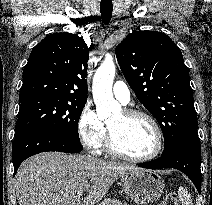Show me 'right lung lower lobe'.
Instances as JSON below:
<instances>
[{
  "label": "right lung lower lobe",
  "instance_id": "right-lung-lower-lobe-1",
  "mask_svg": "<svg viewBox=\"0 0 212 205\" xmlns=\"http://www.w3.org/2000/svg\"><path fill=\"white\" fill-rule=\"evenodd\" d=\"M83 150L79 141L52 131H33L15 137L12 146L14 175L20 164L40 152L59 151L78 153Z\"/></svg>",
  "mask_w": 212,
  "mask_h": 205
}]
</instances>
